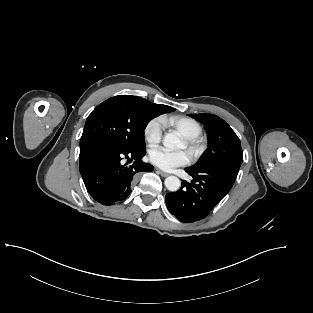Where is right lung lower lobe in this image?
I'll list each match as a JSON object with an SVG mask.
<instances>
[{"mask_svg":"<svg viewBox=\"0 0 313 313\" xmlns=\"http://www.w3.org/2000/svg\"><path fill=\"white\" fill-rule=\"evenodd\" d=\"M145 154V147L130 149L103 139L80 145L79 169L92 198L103 205L125 199L131 192L136 175L154 169L141 160ZM124 159L135 162L127 165Z\"/></svg>","mask_w":313,"mask_h":313,"instance_id":"98d812e1","label":"right lung lower lobe"}]
</instances>
